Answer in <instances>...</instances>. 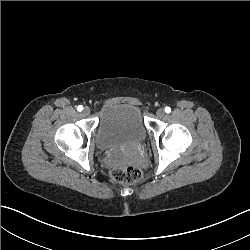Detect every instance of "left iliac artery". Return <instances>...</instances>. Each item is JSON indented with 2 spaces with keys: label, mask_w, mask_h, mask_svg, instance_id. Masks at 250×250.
Instances as JSON below:
<instances>
[{
  "label": "left iliac artery",
  "mask_w": 250,
  "mask_h": 250,
  "mask_svg": "<svg viewBox=\"0 0 250 250\" xmlns=\"http://www.w3.org/2000/svg\"><path fill=\"white\" fill-rule=\"evenodd\" d=\"M165 112H166V113H170V112H171V108H170V107H166V108H165Z\"/></svg>",
  "instance_id": "1"
}]
</instances>
